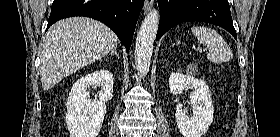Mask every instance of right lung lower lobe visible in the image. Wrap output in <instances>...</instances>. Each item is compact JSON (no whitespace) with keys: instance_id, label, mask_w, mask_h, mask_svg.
<instances>
[{"instance_id":"1","label":"right lung lower lobe","mask_w":280,"mask_h":137,"mask_svg":"<svg viewBox=\"0 0 280 137\" xmlns=\"http://www.w3.org/2000/svg\"><path fill=\"white\" fill-rule=\"evenodd\" d=\"M144 0H54L47 28L56 21L86 16L107 25L128 52Z\"/></svg>"}]
</instances>
